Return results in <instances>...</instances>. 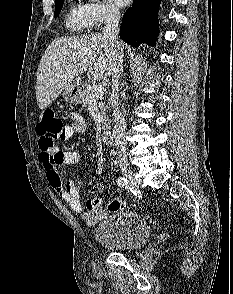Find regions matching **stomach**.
I'll return each mask as SVG.
<instances>
[{"mask_svg":"<svg viewBox=\"0 0 233 294\" xmlns=\"http://www.w3.org/2000/svg\"><path fill=\"white\" fill-rule=\"evenodd\" d=\"M63 97L66 102L71 104L82 103V89L79 84L73 83L63 91Z\"/></svg>","mask_w":233,"mask_h":294,"instance_id":"0dacf381","label":"stomach"}]
</instances>
